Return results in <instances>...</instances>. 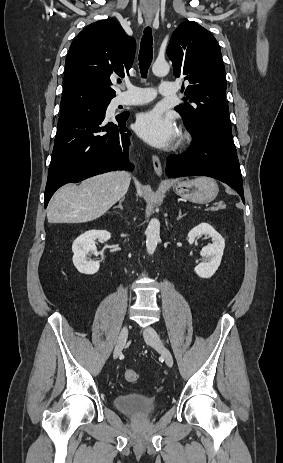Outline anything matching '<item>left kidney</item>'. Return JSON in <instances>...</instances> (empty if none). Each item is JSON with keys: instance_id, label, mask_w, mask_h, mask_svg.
Masks as SVG:
<instances>
[{"instance_id": "obj_1", "label": "left kidney", "mask_w": 283, "mask_h": 463, "mask_svg": "<svg viewBox=\"0 0 283 463\" xmlns=\"http://www.w3.org/2000/svg\"><path fill=\"white\" fill-rule=\"evenodd\" d=\"M202 235L211 237L213 243L201 250L200 255L205 258V262L199 263L194 271L201 278H210L220 266L225 240L210 224L201 223L188 233L189 244H193L195 239Z\"/></svg>"}]
</instances>
